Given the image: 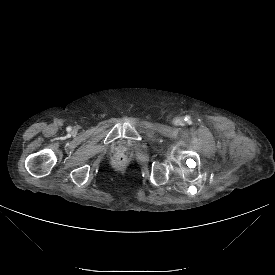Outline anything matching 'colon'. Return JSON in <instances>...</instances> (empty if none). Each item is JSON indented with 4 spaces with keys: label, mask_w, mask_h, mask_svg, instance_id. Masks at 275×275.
Masks as SVG:
<instances>
[{
    "label": "colon",
    "mask_w": 275,
    "mask_h": 275,
    "mask_svg": "<svg viewBox=\"0 0 275 275\" xmlns=\"http://www.w3.org/2000/svg\"><path fill=\"white\" fill-rule=\"evenodd\" d=\"M123 160H124L123 157H118V158H117V161H118V162H122Z\"/></svg>",
    "instance_id": "colon-1"
}]
</instances>
